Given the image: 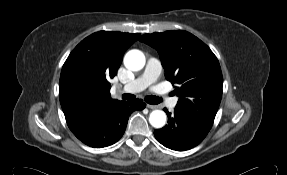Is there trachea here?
Instances as JSON below:
<instances>
[{
    "mask_svg": "<svg viewBox=\"0 0 287 175\" xmlns=\"http://www.w3.org/2000/svg\"><path fill=\"white\" fill-rule=\"evenodd\" d=\"M122 98L123 99H126V100H130V99H134L135 98V95H132V94H123L122 95ZM145 101L151 105H156V104H159L160 102H162V99L159 98V97H156V96H153V95H150V96H146L145 97Z\"/></svg>",
    "mask_w": 287,
    "mask_h": 175,
    "instance_id": "obj_1",
    "label": "trachea"
}]
</instances>
